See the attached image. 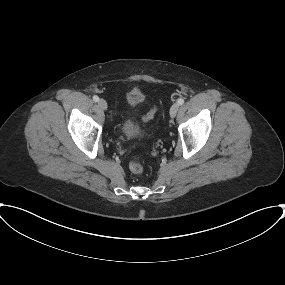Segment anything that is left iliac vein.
<instances>
[{
    "label": "left iliac vein",
    "mask_w": 285,
    "mask_h": 285,
    "mask_svg": "<svg viewBox=\"0 0 285 285\" xmlns=\"http://www.w3.org/2000/svg\"><path fill=\"white\" fill-rule=\"evenodd\" d=\"M178 109H179L178 103H175L171 106V108H170V117L171 118H174L176 116Z\"/></svg>",
    "instance_id": "obj_1"
}]
</instances>
